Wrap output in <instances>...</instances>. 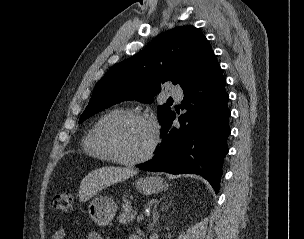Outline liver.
I'll list each match as a JSON object with an SVG mask.
<instances>
[{
    "label": "liver",
    "mask_w": 304,
    "mask_h": 239,
    "mask_svg": "<svg viewBox=\"0 0 304 239\" xmlns=\"http://www.w3.org/2000/svg\"><path fill=\"white\" fill-rule=\"evenodd\" d=\"M137 174L136 170L106 166L98 168L81 181L79 188L80 202H86L108 186L124 181Z\"/></svg>",
    "instance_id": "liver-1"
}]
</instances>
